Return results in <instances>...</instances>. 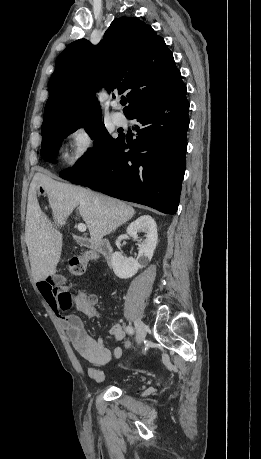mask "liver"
Masks as SVG:
<instances>
[{"label": "liver", "instance_id": "liver-1", "mask_svg": "<svg viewBox=\"0 0 261 459\" xmlns=\"http://www.w3.org/2000/svg\"><path fill=\"white\" fill-rule=\"evenodd\" d=\"M38 186H42L48 196L53 223L38 204ZM76 207L87 225L91 243L97 246L104 236L135 214L134 208L118 199L56 181L46 171L37 172L30 184L25 230L32 276L36 282L56 273L62 251V234L57 227L65 224Z\"/></svg>", "mask_w": 261, "mask_h": 459}]
</instances>
